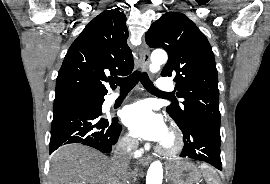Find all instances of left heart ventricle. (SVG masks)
Here are the masks:
<instances>
[{"mask_svg": "<svg viewBox=\"0 0 270 184\" xmlns=\"http://www.w3.org/2000/svg\"><path fill=\"white\" fill-rule=\"evenodd\" d=\"M167 141V137L165 138V140L163 142H166Z\"/></svg>", "mask_w": 270, "mask_h": 184, "instance_id": "1", "label": "left heart ventricle"}]
</instances>
